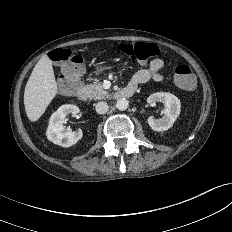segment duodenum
Returning a JSON list of instances; mask_svg holds the SVG:
<instances>
[{
	"mask_svg": "<svg viewBox=\"0 0 232 232\" xmlns=\"http://www.w3.org/2000/svg\"><path fill=\"white\" fill-rule=\"evenodd\" d=\"M134 91H135L134 88L130 86H126L120 89L119 91L115 92L113 94V97L115 99L129 98L134 94ZM76 95L82 101L87 100L88 94L86 88L84 86H80L76 91Z\"/></svg>",
	"mask_w": 232,
	"mask_h": 232,
	"instance_id": "obj_1",
	"label": "duodenum"
}]
</instances>
